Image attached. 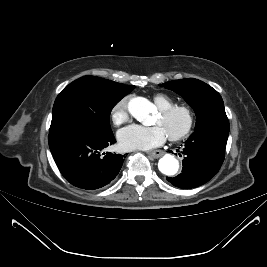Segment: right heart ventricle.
Instances as JSON below:
<instances>
[{
	"mask_svg": "<svg viewBox=\"0 0 267 267\" xmlns=\"http://www.w3.org/2000/svg\"><path fill=\"white\" fill-rule=\"evenodd\" d=\"M153 101L156 106L161 110L173 105V101L165 94H156L153 96Z\"/></svg>",
	"mask_w": 267,
	"mask_h": 267,
	"instance_id": "right-heart-ventricle-1",
	"label": "right heart ventricle"
}]
</instances>
